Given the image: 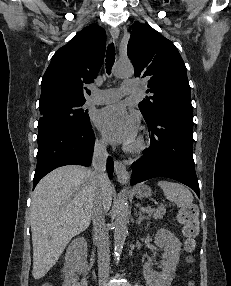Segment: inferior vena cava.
Returning a JSON list of instances; mask_svg holds the SVG:
<instances>
[{"label": "inferior vena cava", "instance_id": "obj_1", "mask_svg": "<svg viewBox=\"0 0 231 286\" xmlns=\"http://www.w3.org/2000/svg\"><path fill=\"white\" fill-rule=\"evenodd\" d=\"M106 142L96 141L94 145V152L92 157L93 173L95 175L98 190L93 209V226L94 239L98 247V276L99 286H108L109 269H110V249L109 237L106 231V226L102 215L107 211L103 203L101 188L109 179L106 173L107 150ZM102 206L104 209H102Z\"/></svg>", "mask_w": 231, "mask_h": 286}]
</instances>
